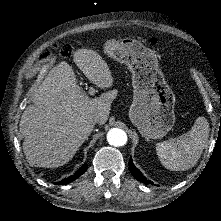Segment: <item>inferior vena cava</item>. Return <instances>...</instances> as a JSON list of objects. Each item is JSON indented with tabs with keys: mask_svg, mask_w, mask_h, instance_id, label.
<instances>
[{
	"mask_svg": "<svg viewBox=\"0 0 221 221\" xmlns=\"http://www.w3.org/2000/svg\"><path fill=\"white\" fill-rule=\"evenodd\" d=\"M100 115L97 113H92L88 116V122L90 125H95L99 122Z\"/></svg>",
	"mask_w": 221,
	"mask_h": 221,
	"instance_id": "602c4592",
	"label": "inferior vena cava"
}]
</instances>
